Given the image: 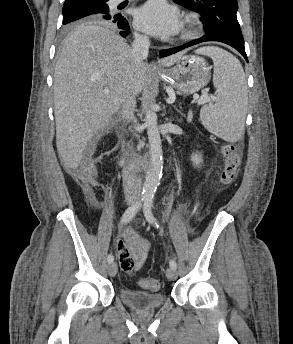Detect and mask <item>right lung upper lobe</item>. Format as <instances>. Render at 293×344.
I'll return each mask as SVG.
<instances>
[{"label":"right lung upper lobe","instance_id":"1","mask_svg":"<svg viewBox=\"0 0 293 344\" xmlns=\"http://www.w3.org/2000/svg\"><path fill=\"white\" fill-rule=\"evenodd\" d=\"M78 1H83V0H65L64 5H65V4L74 3V2H78ZM77 24H80V23H75V24L68 25L66 28H70V27L75 26V25H77Z\"/></svg>","mask_w":293,"mask_h":344}]
</instances>
